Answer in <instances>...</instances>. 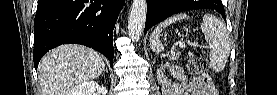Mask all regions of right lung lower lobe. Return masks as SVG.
<instances>
[{
  "mask_svg": "<svg viewBox=\"0 0 277 95\" xmlns=\"http://www.w3.org/2000/svg\"><path fill=\"white\" fill-rule=\"evenodd\" d=\"M125 0H38L34 66L50 49L68 43L93 48L113 66V30Z\"/></svg>",
  "mask_w": 277,
  "mask_h": 95,
  "instance_id": "98d812e1",
  "label": "right lung lower lobe"
}]
</instances>
